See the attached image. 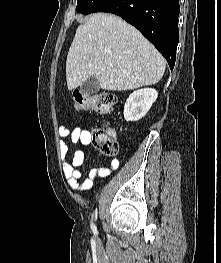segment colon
Masks as SVG:
<instances>
[{"label":"colon","instance_id":"colon-1","mask_svg":"<svg viewBox=\"0 0 221 263\" xmlns=\"http://www.w3.org/2000/svg\"><path fill=\"white\" fill-rule=\"evenodd\" d=\"M73 100L77 111H96L99 113H109L117 103L116 97L109 93L97 95L79 93L74 94ZM113 135L111 130L104 131L97 128L92 133V140L106 155L111 156L115 155L118 151Z\"/></svg>","mask_w":221,"mask_h":263}]
</instances>
